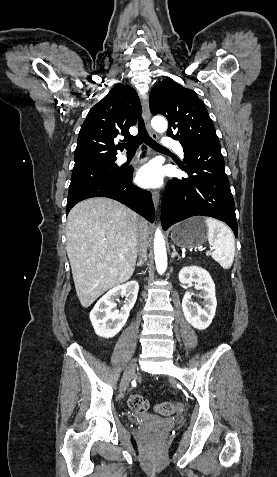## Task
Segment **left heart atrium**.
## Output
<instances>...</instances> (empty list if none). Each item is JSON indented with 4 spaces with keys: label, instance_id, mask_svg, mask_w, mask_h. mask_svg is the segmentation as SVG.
I'll list each match as a JSON object with an SVG mask.
<instances>
[{
    "label": "left heart atrium",
    "instance_id": "39dd6f15",
    "mask_svg": "<svg viewBox=\"0 0 277 477\" xmlns=\"http://www.w3.org/2000/svg\"><path fill=\"white\" fill-rule=\"evenodd\" d=\"M163 172L156 163H149L141 167L136 175L138 184L142 187H156L161 184Z\"/></svg>",
    "mask_w": 277,
    "mask_h": 477
}]
</instances>
